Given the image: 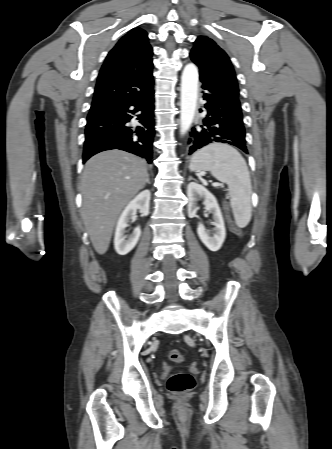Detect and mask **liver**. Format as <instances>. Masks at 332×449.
<instances>
[{"label": "liver", "instance_id": "6515ba94", "mask_svg": "<svg viewBox=\"0 0 332 449\" xmlns=\"http://www.w3.org/2000/svg\"><path fill=\"white\" fill-rule=\"evenodd\" d=\"M147 177L146 162L120 150L101 152L86 162L80 186L81 215L98 254L108 250L121 211L144 187Z\"/></svg>", "mask_w": 332, "mask_h": 449}]
</instances>
